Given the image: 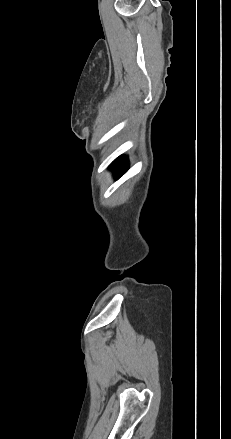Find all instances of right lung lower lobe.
I'll use <instances>...</instances> for the list:
<instances>
[{"label":"right lung lower lobe","instance_id":"1","mask_svg":"<svg viewBox=\"0 0 231 439\" xmlns=\"http://www.w3.org/2000/svg\"><path fill=\"white\" fill-rule=\"evenodd\" d=\"M111 168L115 170L116 178L121 177L127 171L128 168L127 157L126 156L118 157L111 164Z\"/></svg>","mask_w":231,"mask_h":439}]
</instances>
